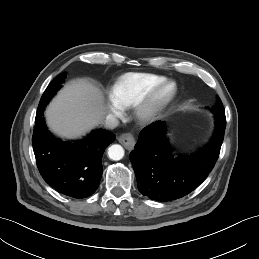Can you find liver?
I'll use <instances>...</instances> for the list:
<instances>
[{
    "mask_svg": "<svg viewBox=\"0 0 259 259\" xmlns=\"http://www.w3.org/2000/svg\"><path fill=\"white\" fill-rule=\"evenodd\" d=\"M106 114L102 92L86 79L69 82L46 110L50 129L65 138H76L101 124Z\"/></svg>",
    "mask_w": 259,
    "mask_h": 259,
    "instance_id": "1",
    "label": "liver"
}]
</instances>
